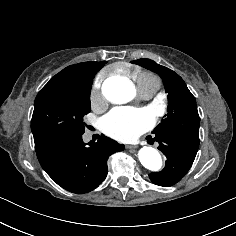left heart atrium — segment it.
<instances>
[{"label": "left heart atrium", "mask_w": 236, "mask_h": 236, "mask_svg": "<svg viewBox=\"0 0 236 236\" xmlns=\"http://www.w3.org/2000/svg\"><path fill=\"white\" fill-rule=\"evenodd\" d=\"M152 119L150 112L145 109L115 108L103 119L102 128L119 141H129L147 130Z\"/></svg>", "instance_id": "1"}]
</instances>
